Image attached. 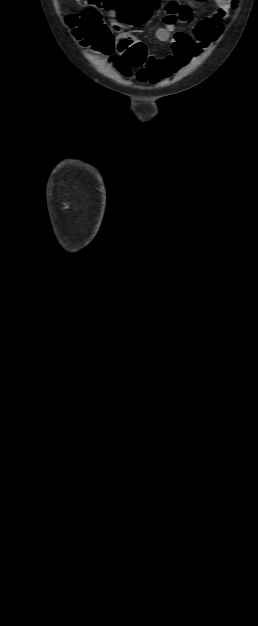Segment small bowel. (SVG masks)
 Here are the masks:
<instances>
[{"instance_id":"c3829d8e","label":"small bowel","mask_w":258,"mask_h":626,"mask_svg":"<svg viewBox=\"0 0 258 626\" xmlns=\"http://www.w3.org/2000/svg\"><path fill=\"white\" fill-rule=\"evenodd\" d=\"M214 3L216 6L214 13L198 22H195L194 12L188 6L176 1L167 3L164 7V26L156 30V37L161 42L170 41L172 53L163 58L146 57L136 74L132 70L135 65L129 60V52L140 43L129 39L119 40L118 52L112 51L107 54L110 55V62L125 78L136 76L139 81L150 83L169 78L220 37L223 20L231 8L232 0H214ZM112 17L115 20L114 24L117 25L120 20L119 12H113ZM178 21L190 26L191 33L176 31Z\"/></svg>"}]
</instances>
